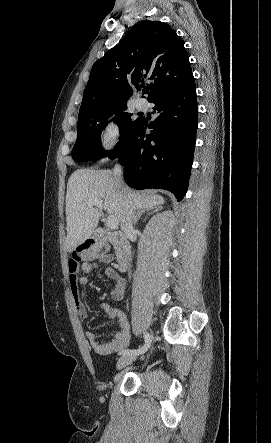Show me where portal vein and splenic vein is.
<instances>
[{
  "label": "portal vein and splenic vein",
  "instance_id": "portal-vein-and-splenic-vein-1",
  "mask_svg": "<svg viewBox=\"0 0 271 443\" xmlns=\"http://www.w3.org/2000/svg\"><path fill=\"white\" fill-rule=\"evenodd\" d=\"M88 206H90V208L96 206V208H99V210H103L102 200H94V202H89ZM106 225H108L110 229H116V227H118V220H116L114 216H108Z\"/></svg>",
  "mask_w": 271,
  "mask_h": 443
}]
</instances>
